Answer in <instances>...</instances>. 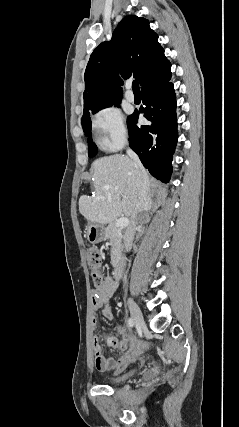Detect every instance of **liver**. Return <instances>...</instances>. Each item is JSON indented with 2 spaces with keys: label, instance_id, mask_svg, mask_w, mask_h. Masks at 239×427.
I'll return each instance as SVG.
<instances>
[{
  "label": "liver",
  "instance_id": "6515ba94",
  "mask_svg": "<svg viewBox=\"0 0 239 427\" xmlns=\"http://www.w3.org/2000/svg\"><path fill=\"white\" fill-rule=\"evenodd\" d=\"M90 171L94 194L80 197V213L102 225L132 216L140 180L132 159L120 154L102 157L92 163Z\"/></svg>",
  "mask_w": 239,
  "mask_h": 427
}]
</instances>
